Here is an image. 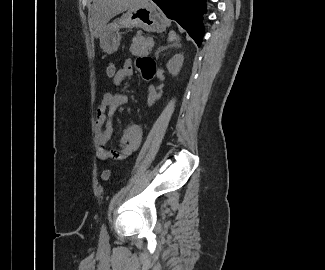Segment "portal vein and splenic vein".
Masks as SVG:
<instances>
[{"mask_svg": "<svg viewBox=\"0 0 325 270\" xmlns=\"http://www.w3.org/2000/svg\"><path fill=\"white\" fill-rule=\"evenodd\" d=\"M149 45H150L151 47H153V46H154V41H153V39H151V38H150V42H149Z\"/></svg>", "mask_w": 325, "mask_h": 270, "instance_id": "1", "label": "portal vein and splenic vein"}]
</instances>
